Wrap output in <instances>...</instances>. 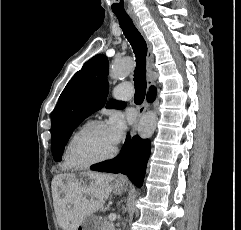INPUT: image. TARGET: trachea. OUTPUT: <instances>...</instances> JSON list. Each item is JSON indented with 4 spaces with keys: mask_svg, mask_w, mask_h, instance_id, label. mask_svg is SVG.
I'll return each instance as SVG.
<instances>
[{
    "mask_svg": "<svg viewBox=\"0 0 241 230\" xmlns=\"http://www.w3.org/2000/svg\"><path fill=\"white\" fill-rule=\"evenodd\" d=\"M119 24L127 40L130 42L136 57V68L134 71L135 103H142L146 93V55L147 44L133 24L131 18L124 13H115Z\"/></svg>",
    "mask_w": 241,
    "mask_h": 230,
    "instance_id": "3493384b",
    "label": "trachea"
}]
</instances>
